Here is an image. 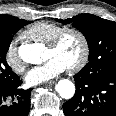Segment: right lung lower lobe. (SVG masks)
<instances>
[{
  "label": "right lung lower lobe",
  "instance_id": "98d812e1",
  "mask_svg": "<svg viewBox=\"0 0 116 116\" xmlns=\"http://www.w3.org/2000/svg\"><path fill=\"white\" fill-rule=\"evenodd\" d=\"M22 81L0 87V116H27L30 111L31 90L20 89Z\"/></svg>",
  "mask_w": 116,
  "mask_h": 116
}]
</instances>
